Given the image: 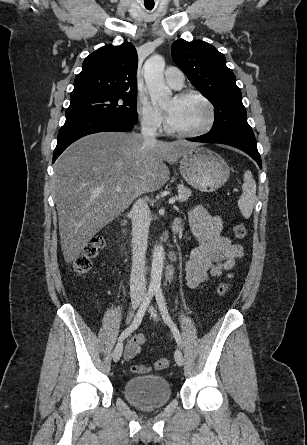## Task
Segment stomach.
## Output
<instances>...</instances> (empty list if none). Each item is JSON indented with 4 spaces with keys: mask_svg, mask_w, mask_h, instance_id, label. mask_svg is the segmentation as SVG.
Returning <instances> with one entry per match:
<instances>
[{
    "mask_svg": "<svg viewBox=\"0 0 307 445\" xmlns=\"http://www.w3.org/2000/svg\"><path fill=\"white\" fill-rule=\"evenodd\" d=\"M180 162V172L193 188L212 192L220 188L229 178L230 168L217 152L205 146H195L183 154Z\"/></svg>",
    "mask_w": 307,
    "mask_h": 445,
    "instance_id": "obj_1",
    "label": "stomach"
}]
</instances>
